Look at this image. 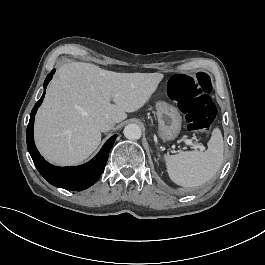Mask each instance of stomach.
<instances>
[{
	"mask_svg": "<svg viewBox=\"0 0 265 265\" xmlns=\"http://www.w3.org/2000/svg\"><path fill=\"white\" fill-rule=\"evenodd\" d=\"M157 116L158 137L163 142L175 140L182 128V117L177 108L164 102H159L157 104Z\"/></svg>",
	"mask_w": 265,
	"mask_h": 265,
	"instance_id": "obj_1",
	"label": "stomach"
}]
</instances>
